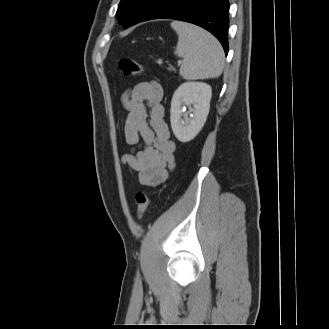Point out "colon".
<instances>
[{
	"mask_svg": "<svg viewBox=\"0 0 329 329\" xmlns=\"http://www.w3.org/2000/svg\"><path fill=\"white\" fill-rule=\"evenodd\" d=\"M119 72L124 76L139 75L143 72V67L140 63L130 58H122L118 62ZM136 211L137 219H142L150 205V197L145 192H138L136 194Z\"/></svg>",
	"mask_w": 329,
	"mask_h": 329,
	"instance_id": "1",
	"label": "colon"
}]
</instances>
